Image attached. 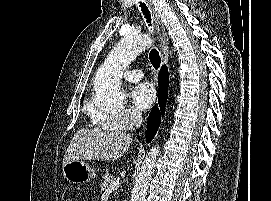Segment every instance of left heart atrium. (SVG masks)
<instances>
[{
  "instance_id": "39dd6f15",
  "label": "left heart atrium",
  "mask_w": 271,
  "mask_h": 201,
  "mask_svg": "<svg viewBox=\"0 0 271 201\" xmlns=\"http://www.w3.org/2000/svg\"><path fill=\"white\" fill-rule=\"evenodd\" d=\"M131 102L139 110H148L156 100V92L149 83H140L131 90Z\"/></svg>"
}]
</instances>
